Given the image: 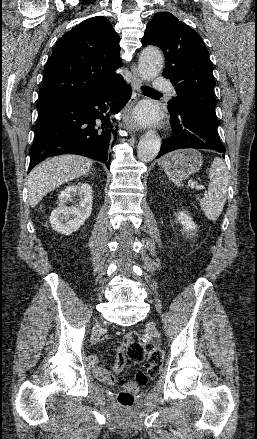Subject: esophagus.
Here are the masks:
<instances>
[{
  "label": "esophagus",
  "mask_w": 257,
  "mask_h": 439,
  "mask_svg": "<svg viewBox=\"0 0 257 439\" xmlns=\"http://www.w3.org/2000/svg\"><path fill=\"white\" fill-rule=\"evenodd\" d=\"M142 85V80L139 76L136 64L131 66V86H132V96L127 104L126 117H125V127L130 132L137 131V125L133 117V107L140 96V87Z\"/></svg>",
  "instance_id": "esophagus-1"
}]
</instances>
